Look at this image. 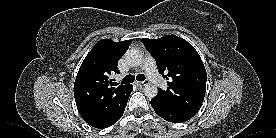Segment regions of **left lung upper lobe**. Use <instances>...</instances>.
Listing matches in <instances>:
<instances>
[{
	"instance_id": "5c2ea615",
	"label": "left lung upper lobe",
	"mask_w": 276,
	"mask_h": 138,
	"mask_svg": "<svg viewBox=\"0 0 276 138\" xmlns=\"http://www.w3.org/2000/svg\"><path fill=\"white\" fill-rule=\"evenodd\" d=\"M156 61L167 82V89L158 90L157 99L178 109L197 113L203 103L207 74L203 62L186 40L166 35L159 39H141Z\"/></svg>"
}]
</instances>
